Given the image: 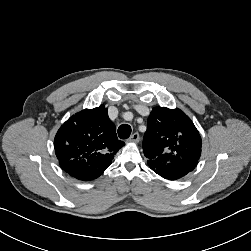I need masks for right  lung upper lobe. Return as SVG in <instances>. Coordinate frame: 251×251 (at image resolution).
Returning a JSON list of instances; mask_svg holds the SVG:
<instances>
[{"label": "right lung upper lobe", "mask_w": 251, "mask_h": 251, "mask_svg": "<svg viewBox=\"0 0 251 251\" xmlns=\"http://www.w3.org/2000/svg\"><path fill=\"white\" fill-rule=\"evenodd\" d=\"M124 145L116 127L100 105L70 117L55 136L54 149L61 167L79 180L99 177Z\"/></svg>", "instance_id": "1"}]
</instances>
